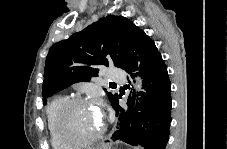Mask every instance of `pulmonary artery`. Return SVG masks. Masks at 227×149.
<instances>
[{
    "label": "pulmonary artery",
    "mask_w": 227,
    "mask_h": 149,
    "mask_svg": "<svg viewBox=\"0 0 227 149\" xmlns=\"http://www.w3.org/2000/svg\"><path fill=\"white\" fill-rule=\"evenodd\" d=\"M108 79L112 82L123 81L126 78L124 70L116 67H109L107 70Z\"/></svg>",
    "instance_id": "pulmonary-artery-1"
}]
</instances>
